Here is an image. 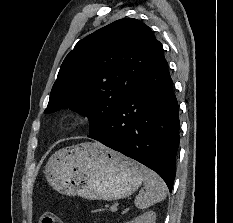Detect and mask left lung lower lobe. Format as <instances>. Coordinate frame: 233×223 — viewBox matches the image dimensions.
<instances>
[{
    "label": "left lung lower lobe",
    "instance_id": "obj_1",
    "mask_svg": "<svg viewBox=\"0 0 233 223\" xmlns=\"http://www.w3.org/2000/svg\"><path fill=\"white\" fill-rule=\"evenodd\" d=\"M172 83L161 45L127 101L90 137L154 170L170 192L179 146V110Z\"/></svg>",
    "mask_w": 233,
    "mask_h": 223
}]
</instances>
